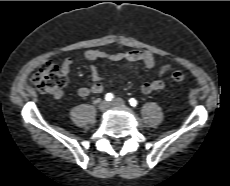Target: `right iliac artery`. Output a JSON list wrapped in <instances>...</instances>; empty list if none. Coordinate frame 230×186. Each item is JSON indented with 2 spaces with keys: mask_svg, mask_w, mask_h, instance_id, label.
<instances>
[{
  "mask_svg": "<svg viewBox=\"0 0 230 186\" xmlns=\"http://www.w3.org/2000/svg\"><path fill=\"white\" fill-rule=\"evenodd\" d=\"M113 98H114V95H113L112 93H107V94L105 95V100H106V101H112Z\"/></svg>",
  "mask_w": 230,
  "mask_h": 186,
  "instance_id": "right-iliac-artery-1",
  "label": "right iliac artery"
}]
</instances>
